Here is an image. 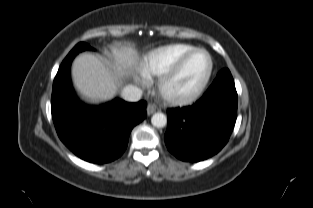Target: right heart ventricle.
Instances as JSON below:
<instances>
[{"mask_svg": "<svg viewBox=\"0 0 313 208\" xmlns=\"http://www.w3.org/2000/svg\"><path fill=\"white\" fill-rule=\"evenodd\" d=\"M196 49L189 44H169L150 51L144 58L141 66V74L150 79L161 76L170 69L187 53Z\"/></svg>", "mask_w": 313, "mask_h": 208, "instance_id": "1", "label": "right heart ventricle"}]
</instances>
